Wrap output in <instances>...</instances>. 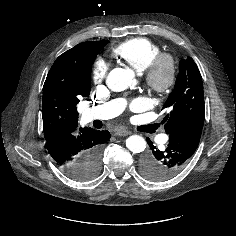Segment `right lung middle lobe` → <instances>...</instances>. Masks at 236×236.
Masks as SVG:
<instances>
[{"instance_id":"1","label":"right lung middle lobe","mask_w":236,"mask_h":236,"mask_svg":"<svg viewBox=\"0 0 236 236\" xmlns=\"http://www.w3.org/2000/svg\"><path fill=\"white\" fill-rule=\"evenodd\" d=\"M101 49V48H100ZM100 49L97 51L96 55L98 54V52L100 51ZM96 55L93 57L89 69L87 71V73L85 74V86L84 89L87 92V94L90 93V88H91V83H90V73H91V65L96 57ZM100 167H101V163H100V153L94 154L91 153L90 155H88V157L86 158V161L83 163L82 165V170H81V174L77 177L78 180H89L94 178L100 171ZM73 178H75V174L72 175Z\"/></svg>"}]
</instances>
